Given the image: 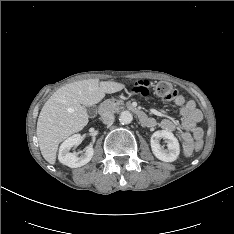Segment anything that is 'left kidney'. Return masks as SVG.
I'll list each match as a JSON object with an SVG mask.
<instances>
[{"label":"left kidney","mask_w":234,"mask_h":234,"mask_svg":"<svg viewBox=\"0 0 234 234\" xmlns=\"http://www.w3.org/2000/svg\"><path fill=\"white\" fill-rule=\"evenodd\" d=\"M164 139L167 143V149L161 147L159 141ZM151 149L156 158L164 162L175 161L180 154V144L174 134L167 130H159L152 134Z\"/></svg>","instance_id":"obj_1"}]
</instances>
